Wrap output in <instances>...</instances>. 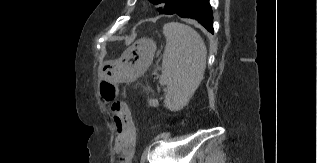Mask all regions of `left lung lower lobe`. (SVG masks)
I'll list each match as a JSON object with an SVG mask.
<instances>
[{
  "label": "left lung lower lobe",
  "instance_id": "0a47b994",
  "mask_svg": "<svg viewBox=\"0 0 317 163\" xmlns=\"http://www.w3.org/2000/svg\"><path fill=\"white\" fill-rule=\"evenodd\" d=\"M173 14L183 18L196 19L210 33H214L212 9L209 0H183Z\"/></svg>",
  "mask_w": 317,
  "mask_h": 163
}]
</instances>
